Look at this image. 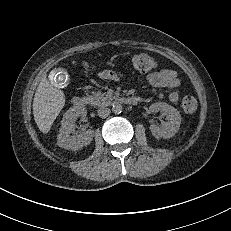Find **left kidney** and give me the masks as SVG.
I'll return each mask as SVG.
<instances>
[{
	"mask_svg": "<svg viewBox=\"0 0 231 231\" xmlns=\"http://www.w3.org/2000/svg\"><path fill=\"white\" fill-rule=\"evenodd\" d=\"M149 109L151 112H162L167 119V122L161 127L154 124L150 126L151 133L154 137L170 138L177 133L181 124V115L176 108L164 102H157L153 103Z\"/></svg>",
	"mask_w": 231,
	"mask_h": 231,
	"instance_id": "5707ae66",
	"label": "left kidney"
}]
</instances>
